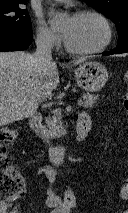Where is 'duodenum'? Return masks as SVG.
<instances>
[{"label":"duodenum","instance_id":"410a0bca","mask_svg":"<svg viewBox=\"0 0 128 213\" xmlns=\"http://www.w3.org/2000/svg\"><path fill=\"white\" fill-rule=\"evenodd\" d=\"M29 123L32 131L48 145V155L51 162L55 164L62 163L65 158L66 148L64 146H54L51 144V138L43 127L41 114H33L30 117ZM90 127L91 119L89 115L86 113L80 114L77 121V131L75 138V142L77 144H81L86 140Z\"/></svg>","mask_w":128,"mask_h":213}]
</instances>
